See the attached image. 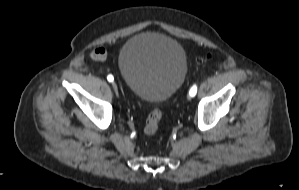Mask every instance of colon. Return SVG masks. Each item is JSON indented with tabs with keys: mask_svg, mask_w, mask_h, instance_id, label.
Returning <instances> with one entry per match:
<instances>
[{
	"mask_svg": "<svg viewBox=\"0 0 299 190\" xmlns=\"http://www.w3.org/2000/svg\"><path fill=\"white\" fill-rule=\"evenodd\" d=\"M206 59H207V55H202L199 58V61L202 62ZM161 117H162V111L159 107L154 108L150 112L144 127V133L146 136L154 137L157 134Z\"/></svg>",
	"mask_w": 299,
	"mask_h": 190,
	"instance_id": "colon-1",
	"label": "colon"
}]
</instances>
